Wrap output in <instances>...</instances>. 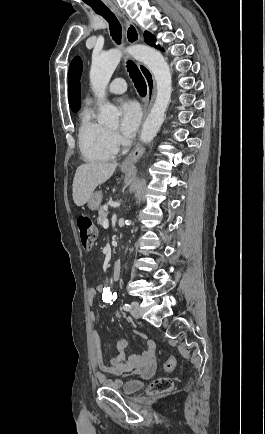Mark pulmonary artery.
<instances>
[{
	"label": "pulmonary artery",
	"instance_id": "pulmonary-artery-1",
	"mask_svg": "<svg viewBox=\"0 0 265 434\" xmlns=\"http://www.w3.org/2000/svg\"><path fill=\"white\" fill-rule=\"evenodd\" d=\"M123 78H116L111 84L110 91L116 94H121L125 92V90L128 89V82L127 81H121Z\"/></svg>",
	"mask_w": 265,
	"mask_h": 434
}]
</instances>
